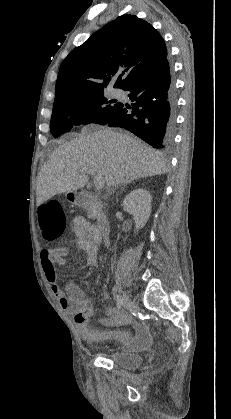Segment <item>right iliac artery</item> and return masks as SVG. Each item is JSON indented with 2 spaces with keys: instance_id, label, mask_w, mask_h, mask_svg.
Returning <instances> with one entry per match:
<instances>
[{
  "instance_id": "82829eb1",
  "label": "right iliac artery",
  "mask_w": 231,
  "mask_h": 419,
  "mask_svg": "<svg viewBox=\"0 0 231 419\" xmlns=\"http://www.w3.org/2000/svg\"><path fill=\"white\" fill-rule=\"evenodd\" d=\"M122 307V299L120 296L117 295V308L120 309Z\"/></svg>"
}]
</instances>
